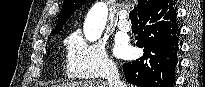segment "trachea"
<instances>
[{
  "label": "trachea",
  "mask_w": 205,
  "mask_h": 87,
  "mask_svg": "<svg viewBox=\"0 0 205 87\" xmlns=\"http://www.w3.org/2000/svg\"><path fill=\"white\" fill-rule=\"evenodd\" d=\"M129 18H130L131 22H138L137 9H136V8H134V9L130 12Z\"/></svg>",
  "instance_id": "3493384b"
}]
</instances>
